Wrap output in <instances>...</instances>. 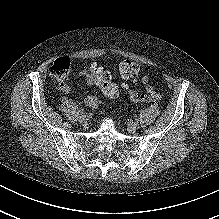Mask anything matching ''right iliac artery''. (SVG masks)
<instances>
[{"label": "right iliac artery", "mask_w": 219, "mask_h": 219, "mask_svg": "<svg viewBox=\"0 0 219 219\" xmlns=\"http://www.w3.org/2000/svg\"><path fill=\"white\" fill-rule=\"evenodd\" d=\"M79 112L82 114L84 112V109H80Z\"/></svg>", "instance_id": "82829eb1"}]
</instances>
